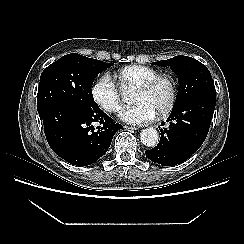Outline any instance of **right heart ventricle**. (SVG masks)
<instances>
[{
  "label": "right heart ventricle",
  "mask_w": 244,
  "mask_h": 244,
  "mask_svg": "<svg viewBox=\"0 0 244 244\" xmlns=\"http://www.w3.org/2000/svg\"><path fill=\"white\" fill-rule=\"evenodd\" d=\"M160 72L152 67L129 65L120 68L114 74L117 88L121 92L135 90L137 87L158 75Z\"/></svg>",
  "instance_id": "right-heart-ventricle-1"
}]
</instances>
